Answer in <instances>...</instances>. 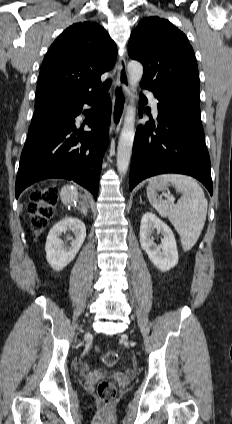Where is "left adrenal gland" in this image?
I'll return each instance as SVG.
<instances>
[{
  "mask_svg": "<svg viewBox=\"0 0 232 424\" xmlns=\"http://www.w3.org/2000/svg\"><path fill=\"white\" fill-rule=\"evenodd\" d=\"M140 204H144L143 202H142V199L140 198Z\"/></svg>",
  "mask_w": 232,
  "mask_h": 424,
  "instance_id": "a2214340",
  "label": "left adrenal gland"
}]
</instances>
